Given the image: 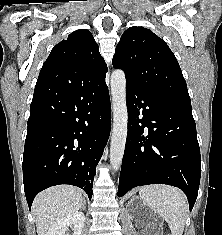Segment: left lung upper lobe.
Returning <instances> with one entry per match:
<instances>
[{"label": "left lung upper lobe", "mask_w": 222, "mask_h": 235, "mask_svg": "<svg viewBox=\"0 0 222 235\" xmlns=\"http://www.w3.org/2000/svg\"><path fill=\"white\" fill-rule=\"evenodd\" d=\"M113 66L126 83L191 111V100L178 61L163 39L144 27L126 30L116 47Z\"/></svg>", "instance_id": "1"}]
</instances>
